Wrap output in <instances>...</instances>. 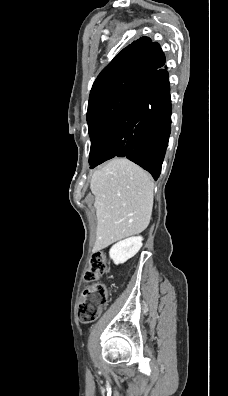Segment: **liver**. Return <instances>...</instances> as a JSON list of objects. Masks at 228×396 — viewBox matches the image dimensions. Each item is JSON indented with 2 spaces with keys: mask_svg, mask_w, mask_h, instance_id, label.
<instances>
[{
  "mask_svg": "<svg viewBox=\"0 0 228 396\" xmlns=\"http://www.w3.org/2000/svg\"><path fill=\"white\" fill-rule=\"evenodd\" d=\"M97 216L93 251L137 235L149 225L153 208L151 176L126 158H115L92 176Z\"/></svg>",
  "mask_w": 228,
  "mask_h": 396,
  "instance_id": "1",
  "label": "liver"
}]
</instances>
